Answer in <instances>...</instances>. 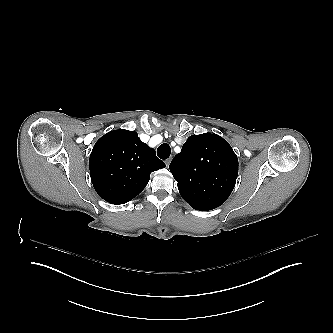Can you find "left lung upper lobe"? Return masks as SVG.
<instances>
[{"mask_svg":"<svg viewBox=\"0 0 333 333\" xmlns=\"http://www.w3.org/2000/svg\"><path fill=\"white\" fill-rule=\"evenodd\" d=\"M170 171L182 198L201 211L222 205L230 196L238 175V158L221 136H190L172 160Z\"/></svg>","mask_w":333,"mask_h":333,"instance_id":"5c2ea615","label":"left lung upper lobe"}]
</instances>
